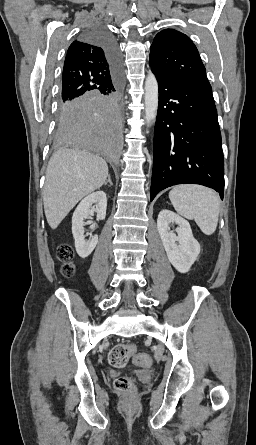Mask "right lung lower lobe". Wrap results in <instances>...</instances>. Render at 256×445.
I'll use <instances>...</instances> for the list:
<instances>
[{
  "instance_id": "right-lung-lower-lobe-1",
  "label": "right lung lower lobe",
  "mask_w": 256,
  "mask_h": 445,
  "mask_svg": "<svg viewBox=\"0 0 256 445\" xmlns=\"http://www.w3.org/2000/svg\"><path fill=\"white\" fill-rule=\"evenodd\" d=\"M83 36L105 51L116 79L109 89L59 101L58 139L116 162L122 149L119 52L113 36L100 25H90Z\"/></svg>"
}]
</instances>
